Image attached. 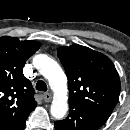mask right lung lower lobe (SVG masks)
Returning <instances> with one entry per match:
<instances>
[{"label": "right lung lower lobe", "mask_w": 130, "mask_h": 130, "mask_svg": "<svg viewBox=\"0 0 130 130\" xmlns=\"http://www.w3.org/2000/svg\"><path fill=\"white\" fill-rule=\"evenodd\" d=\"M26 121V120H25ZM25 121L19 124L18 126L12 128L11 130H23L25 127Z\"/></svg>", "instance_id": "obj_1"}]
</instances>
